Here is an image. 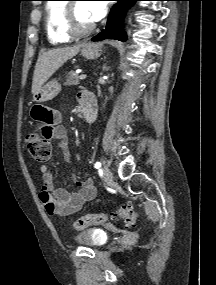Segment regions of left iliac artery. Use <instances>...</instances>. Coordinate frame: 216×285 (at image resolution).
<instances>
[{"label": "left iliac artery", "mask_w": 216, "mask_h": 285, "mask_svg": "<svg viewBox=\"0 0 216 285\" xmlns=\"http://www.w3.org/2000/svg\"><path fill=\"white\" fill-rule=\"evenodd\" d=\"M95 168L96 169H100L101 168V163L100 162H96L95 163Z\"/></svg>", "instance_id": "44dca946"}]
</instances>
